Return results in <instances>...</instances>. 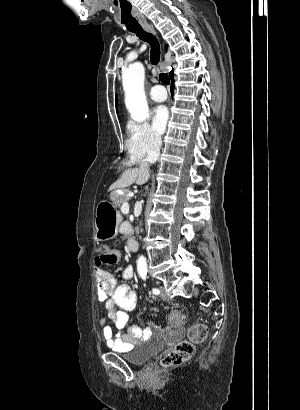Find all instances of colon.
<instances>
[{
    "label": "colon",
    "instance_id": "colon-1",
    "mask_svg": "<svg viewBox=\"0 0 300 410\" xmlns=\"http://www.w3.org/2000/svg\"><path fill=\"white\" fill-rule=\"evenodd\" d=\"M120 257V253L115 248H108L96 258V263L99 266L115 265ZM181 308H174L170 314V322L174 327H179L184 318ZM187 326L185 323L182 325ZM208 336V328L204 324H196L189 329V340L179 342L173 350L168 352L161 361L162 366L172 367L183 363L190 359L195 352V344L203 342Z\"/></svg>",
    "mask_w": 300,
    "mask_h": 410
}]
</instances>
